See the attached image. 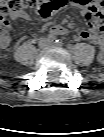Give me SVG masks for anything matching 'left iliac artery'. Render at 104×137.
Listing matches in <instances>:
<instances>
[{
    "label": "left iliac artery",
    "mask_w": 104,
    "mask_h": 137,
    "mask_svg": "<svg viewBox=\"0 0 104 137\" xmlns=\"http://www.w3.org/2000/svg\"><path fill=\"white\" fill-rule=\"evenodd\" d=\"M55 42H56V44H57L58 46H62V45H63V42H62L61 40H59V39L56 40Z\"/></svg>",
    "instance_id": "44dca946"
}]
</instances>
